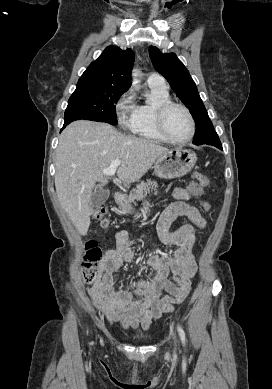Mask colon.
Instances as JSON below:
<instances>
[{
  "label": "colon",
  "mask_w": 272,
  "mask_h": 389,
  "mask_svg": "<svg viewBox=\"0 0 272 389\" xmlns=\"http://www.w3.org/2000/svg\"><path fill=\"white\" fill-rule=\"evenodd\" d=\"M192 182L189 186V189L196 194H201L202 189L208 187L209 180L208 178L199 172H194L192 175ZM203 210L209 208V202L202 200ZM107 209L104 206H100L94 213V217L100 221L103 227L108 225V221L105 218ZM102 253L98 248L95 242L89 241L86 243V255L82 268V277L85 284L90 285L94 282L96 278V269L98 267L99 261L101 260ZM175 304L180 303L178 299L175 300Z\"/></svg>",
  "instance_id": "5ec220e1"
}]
</instances>
